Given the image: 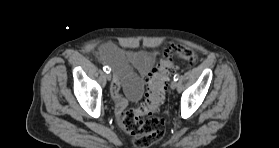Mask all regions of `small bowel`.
Masks as SVG:
<instances>
[{"mask_svg":"<svg viewBox=\"0 0 279 148\" xmlns=\"http://www.w3.org/2000/svg\"><path fill=\"white\" fill-rule=\"evenodd\" d=\"M101 60L114 70V79L111 85V94L115 102V111L119 115L127 105V99L137 101L142 96L143 80L155 63L154 54L125 55L112 43H106L100 49ZM132 66L138 71L136 73ZM125 92L126 98L121 94Z\"/></svg>","mask_w":279,"mask_h":148,"instance_id":"1","label":"small bowel"}]
</instances>
